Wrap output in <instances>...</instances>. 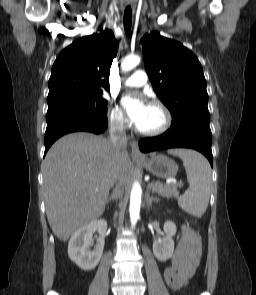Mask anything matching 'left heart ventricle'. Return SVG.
Segmentation results:
<instances>
[{
	"mask_svg": "<svg viewBox=\"0 0 256 295\" xmlns=\"http://www.w3.org/2000/svg\"><path fill=\"white\" fill-rule=\"evenodd\" d=\"M161 121L162 116L160 112L156 108L149 106L147 114L142 120L141 124L138 126V128L143 130L153 129L159 126Z\"/></svg>",
	"mask_w": 256,
	"mask_h": 295,
	"instance_id": "1",
	"label": "left heart ventricle"
}]
</instances>
